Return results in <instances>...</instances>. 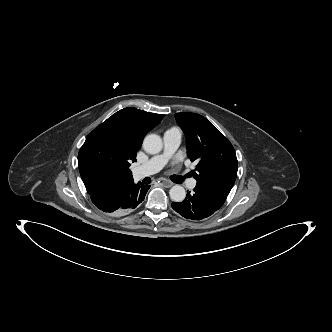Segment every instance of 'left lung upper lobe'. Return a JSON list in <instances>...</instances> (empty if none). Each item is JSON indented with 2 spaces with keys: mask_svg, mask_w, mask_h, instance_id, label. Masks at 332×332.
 Returning a JSON list of instances; mask_svg holds the SVG:
<instances>
[{
  "mask_svg": "<svg viewBox=\"0 0 332 332\" xmlns=\"http://www.w3.org/2000/svg\"><path fill=\"white\" fill-rule=\"evenodd\" d=\"M175 118L187 138V155L197 163L192 172L197 180L195 189L223 205L238 170L232 144L199 114L176 113Z\"/></svg>",
  "mask_w": 332,
  "mask_h": 332,
  "instance_id": "obj_1",
  "label": "left lung upper lobe"
}]
</instances>
